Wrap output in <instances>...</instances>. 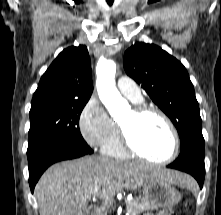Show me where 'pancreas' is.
I'll return each mask as SVG.
<instances>
[{
    "label": "pancreas",
    "mask_w": 221,
    "mask_h": 215,
    "mask_svg": "<svg viewBox=\"0 0 221 215\" xmlns=\"http://www.w3.org/2000/svg\"><path fill=\"white\" fill-rule=\"evenodd\" d=\"M125 203L128 215H139L141 212L145 210L155 208L154 205L140 198H136L134 200H126Z\"/></svg>",
    "instance_id": "pancreas-1"
}]
</instances>
